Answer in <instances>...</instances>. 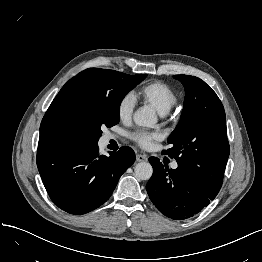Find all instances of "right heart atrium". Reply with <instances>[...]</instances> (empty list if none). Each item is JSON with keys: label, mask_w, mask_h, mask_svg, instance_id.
Masks as SVG:
<instances>
[{"label": "right heart atrium", "mask_w": 262, "mask_h": 262, "mask_svg": "<svg viewBox=\"0 0 262 262\" xmlns=\"http://www.w3.org/2000/svg\"><path fill=\"white\" fill-rule=\"evenodd\" d=\"M136 105L135 98L132 94H125L118 103L117 114L121 121H129L133 115Z\"/></svg>", "instance_id": "right-heart-atrium-1"}]
</instances>
